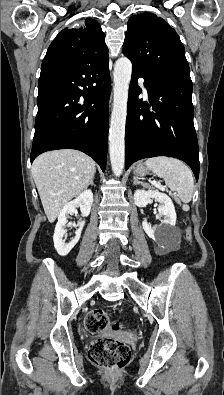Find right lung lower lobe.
Listing matches in <instances>:
<instances>
[{
  "label": "right lung lower lobe",
  "mask_w": 224,
  "mask_h": 395,
  "mask_svg": "<svg viewBox=\"0 0 224 395\" xmlns=\"http://www.w3.org/2000/svg\"><path fill=\"white\" fill-rule=\"evenodd\" d=\"M108 64L43 60L31 163L43 152L70 148L86 153L105 170L111 92Z\"/></svg>",
  "instance_id": "98d812e1"
}]
</instances>
